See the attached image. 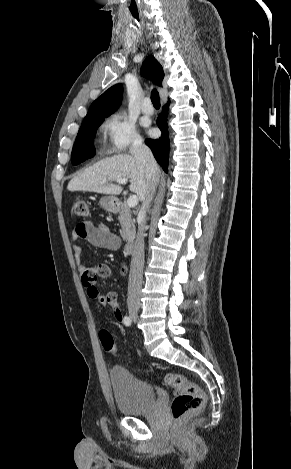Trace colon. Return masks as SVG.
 <instances>
[{"mask_svg": "<svg viewBox=\"0 0 291 469\" xmlns=\"http://www.w3.org/2000/svg\"><path fill=\"white\" fill-rule=\"evenodd\" d=\"M72 214L76 217L88 215V204L83 198H76L72 204ZM124 271V269H123ZM97 308H103L105 301L96 297L94 299ZM99 340L104 350L113 356L118 354V348L110 332L101 330ZM165 384L175 391L170 410L172 417L179 421L187 414L201 409L205 404V394L199 385L188 380L180 373H168L164 376Z\"/></svg>", "mask_w": 291, "mask_h": 469, "instance_id": "1", "label": "colon"}]
</instances>
